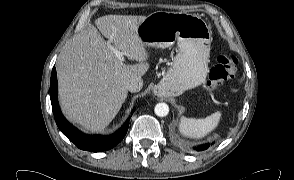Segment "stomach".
Returning <instances> with one entry per match:
<instances>
[{
    "instance_id": "0dacf381",
    "label": "stomach",
    "mask_w": 294,
    "mask_h": 180,
    "mask_svg": "<svg viewBox=\"0 0 294 180\" xmlns=\"http://www.w3.org/2000/svg\"><path fill=\"white\" fill-rule=\"evenodd\" d=\"M137 36L148 47L167 48L175 42L179 53L160 82L163 96H178L202 84L208 73L211 31L198 15L157 11L138 26Z\"/></svg>"
}]
</instances>
